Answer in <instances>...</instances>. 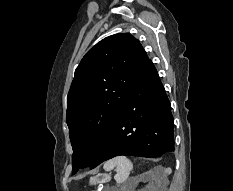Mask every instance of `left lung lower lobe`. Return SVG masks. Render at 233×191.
<instances>
[{
    "instance_id": "obj_1",
    "label": "left lung lower lobe",
    "mask_w": 233,
    "mask_h": 191,
    "mask_svg": "<svg viewBox=\"0 0 233 191\" xmlns=\"http://www.w3.org/2000/svg\"><path fill=\"white\" fill-rule=\"evenodd\" d=\"M173 116L157 70L148 60L122 104L106 142L89 166L115 156L159 157L174 152Z\"/></svg>"
}]
</instances>
